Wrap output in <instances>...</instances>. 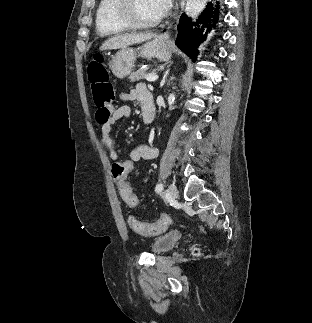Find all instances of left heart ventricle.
<instances>
[{
    "label": "left heart ventricle",
    "instance_id": "1",
    "mask_svg": "<svg viewBox=\"0 0 312 323\" xmlns=\"http://www.w3.org/2000/svg\"><path fill=\"white\" fill-rule=\"evenodd\" d=\"M134 7L128 8L129 14H137L144 22H151L152 18L158 17L156 9H161L159 0H132Z\"/></svg>",
    "mask_w": 312,
    "mask_h": 323
}]
</instances>
